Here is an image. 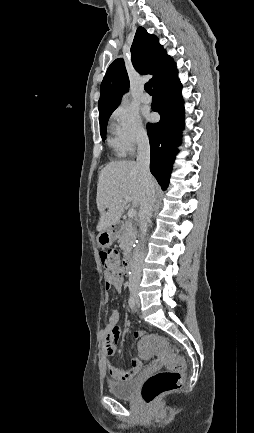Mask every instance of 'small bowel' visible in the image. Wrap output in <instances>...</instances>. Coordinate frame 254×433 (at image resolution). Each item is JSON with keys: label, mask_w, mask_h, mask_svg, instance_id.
Listing matches in <instances>:
<instances>
[{"label": "small bowel", "mask_w": 254, "mask_h": 433, "mask_svg": "<svg viewBox=\"0 0 254 433\" xmlns=\"http://www.w3.org/2000/svg\"><path fill=\"white\" fill-rule=\"evenodd\" d=\"M123 276L117 278H110L106 276L105 287L106 289L115 288L120 291L123 287ZM120 314L118 310H113L110 313L109 319L104 327L105 340L103 342V349L106 355L107 371L109 376L114 380L125 381L134 377L142 366V362L139 357L132 356L130 359V365L128 368H119L109 360L110 357L114 356L117 350V340L122 334L121 328L118 326ZM143 335L142 331H135L133 337L135 339L141 338Z\"/></svg>", "instance_id": "1"}]
</instances>
